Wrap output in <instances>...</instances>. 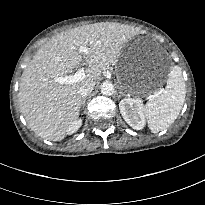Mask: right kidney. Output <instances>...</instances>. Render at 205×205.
<instances>
[{"mask_svg": "<svg viewBox=\"0 0 205 205\" xmlns=\"http://www.w3.org/2000/svg\"><path fill=\"white\" fill-rule=\"evenodd\" d=\"M81 125H82L81 119H77L76 121H74L73 124L70 125L68 130H67L68 134H72V133L76 132L80 128Z\"/></svg>", "mask_w": 205, "mask_h": 205, "instance_id": "ca27d5eb", "label": "right kidney"}]
</instances>
